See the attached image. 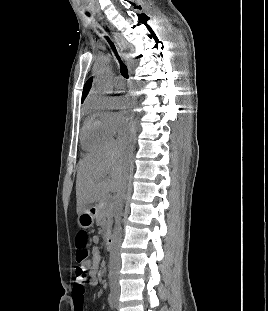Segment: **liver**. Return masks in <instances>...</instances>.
<instances>
[{
  "instance_id": "liver-1",
  "label": "liver",
  "mask_w": 268,
  "mask_h": 311,
  "mask_svg": "<svg viewBox=\"0 0 268 311\" xmlns=\"http://www.w3.org/2000/svg\"><path fill=\"white\" fill-rule=\"evenodd\" d=\"M126 177L127 153L119 144H111L80 160L76 180L77 214L101 201L109 192L118 193L124 188Z\"/></svg>"
}]
</instances>
